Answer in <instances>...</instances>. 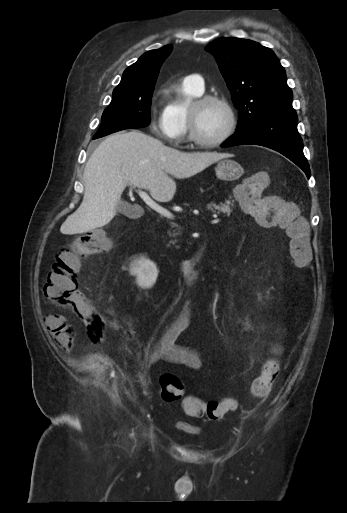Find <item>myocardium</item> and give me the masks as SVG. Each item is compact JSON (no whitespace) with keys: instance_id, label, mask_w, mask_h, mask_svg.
<instances>
[{"instance_id":"1","label":"myocardium","mask_w":347,"mask_h":513,"mask_svg":"<svg viewBox=\"0 0 347 513\" xmlns=\"http://www.w3.org/2000/svg\"><path fill=\"white\" fill-rule=\"evenodd\" d=\"M208 103H217L223 106L228 115V125L224 133L214 139V140H205L201 138L196 130L195 120H194V110L201 105ZM237 118L236 113L231 105V103L224 97L214 94H205L200 95L189 103L188 112H187V127H188V135L190 140L198 146L204 148H214L221 144H223L226 140H228L234 133L236 129Z\"/></svg>"}]
</instances>
